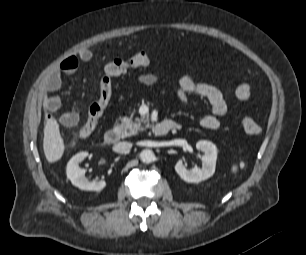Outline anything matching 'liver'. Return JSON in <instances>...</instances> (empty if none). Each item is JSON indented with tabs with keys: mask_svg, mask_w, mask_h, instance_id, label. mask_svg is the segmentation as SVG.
I'll use <instances>...</instances> for the list:
<instances>
[{
	"mask_svg": "<svg viewBox=\"0 0 306 255\" xmlns=\"http://www.w3.org/2000/svg\"><path fill=\"white\" fill-rule=\"evenodd\" d=\"M43 150L49 163L60 160L65 151V144L60 134L59 124L53 117L47 120L44 127Z\"/></svg>",
	"mask_w": 306,
	"mask_h": 255,
	"instance_id": "obj_1",
	"label": "liver"
}]
</instances>
